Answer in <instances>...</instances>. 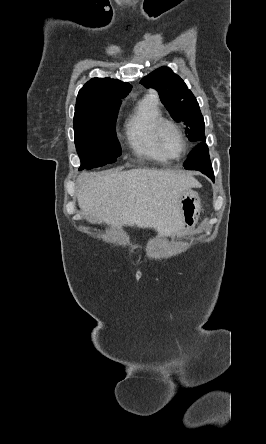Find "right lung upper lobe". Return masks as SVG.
Segmentation results:
<instances>
[{
	"instance_id": "1",
	"label": "right lung upper lobe",
	"mask_w": 266,
	"mask_h": 444,
	"mask_svg": "<svg viewBox=\"0 0 266 444\" xmlns=\"http://www.w3.org/2000/svg\"><path fill=\"white\" fill-rule=\"evenodd\" d=\"M131 85L111 78H93L79 91L75 108H83L102 101L120 100L131 90Z\"/></svg>"
}]
</instances>
